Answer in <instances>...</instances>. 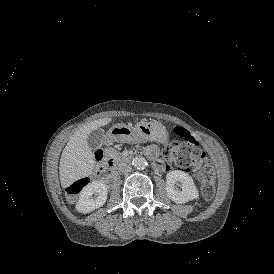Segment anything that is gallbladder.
Listing matches in <instances>:
<instances>
[{
	"mask_svg": "<svg viewBox=\"0 0 274 274\" xmlns=\"http://www.w3.org/2000/svg\"><path fill=\"white\" fill-rule=\"evenodd\" d=\"M105 137V131L102 128L93 130L87 137V143L90 148L96 149L101 146Z\"/></svg>",
	"mask_w": 274,
	"mask_h": 274,
	"instance_id": "1",
	"label": "gallbladder"
}]
</instances>
